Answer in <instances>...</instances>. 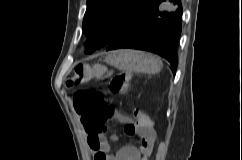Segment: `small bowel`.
<instances>
[{
  "label": "small bowel",
  "mask_w": 242,
  "mask_h": 160,
  "mask_svg": "<svg viewBox=\"0 0 242 160\" xmlns=\"http://www.w3.org/2000/svg\"><path fill=\"white\" fill-rule=\"evenodd\" d=\"M115 118L124 124L126 134H129V130H133V134L139 136L140 147L127 145L112 154L110 143L104 133L93 135L86 130L87 143L92 152L93 160H148L155 141V130L148 116L142 112H134L133 120L121 113H116ZM113 139L116 138L113 137Z\"/></svg>",
  "instance_id": "1"
}]
</instances>
